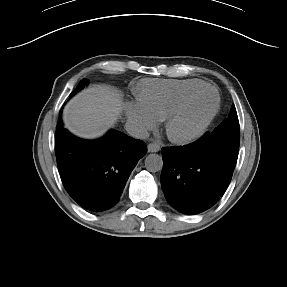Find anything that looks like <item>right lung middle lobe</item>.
<instances>
[{"label": "right lung middle lobe", "instance_id": "1", "mask_svg": "<svg viewBox=\"0 0 287 287\" xmlns=\"http://www.w3.org/2000/svg\"><path fill=\"white\" fill-rule=\"evenodd\" d=\"M88 84V81L86 79H83L80 81V83L78 84L77 88L70 94V97H72L73 95H75L78 91H80L81 89H83L86 85ZM61 114V112H60ZM62 126V122L61 119L58 123V128Z\"/></svg>", "mask_w": 287, "mask_h": 287}]
</instances>
